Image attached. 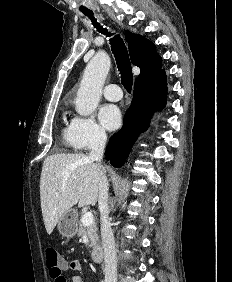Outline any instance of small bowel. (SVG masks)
I'll return each mask as SVG.
<instances>
[{
    "mask_svg": "<svg viewBox=\"0 0 232 282\" xmlns=\"http://www.w3.org/2000/svg\"><path fill=\"white\" fill-rule=\"evenodd\" d=\"M68 269L78 271L80 273V274L72 275L70 279L71 282H85V279L83 277L84 267L80 261L78 260H72L70 262L64 261L63 270H68ZM51 277L54 280V282H67L66 278L63 275L59 277H53V276Z\"/></svg>",
    "mask_w": 232,
    "mask_h": 282,
    "instance_id": "1",
    "label": "small bowel"
}]
</instances>
